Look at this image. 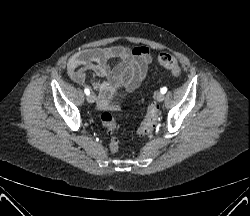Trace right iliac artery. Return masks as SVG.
I'll return each instance as SVG.
<instances>
[{
  "instance_id": "1",
  "label": "right iliac artery",
  "mask_w": 250,
  "mask_h": 216,
  "mask_svg": "<svg viewBox=\"0 0 250 216\" xmlns=\"http://www.w3.org/2000/svg\"><path fill=\"white\" fill-rule=\"evenodd\" d=\"M84 92H85L86 95H89V94H90V91H89V89H87V88L84 90Z\"/></svg>"
}]
</instances>
